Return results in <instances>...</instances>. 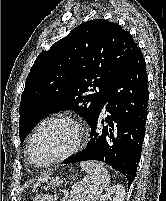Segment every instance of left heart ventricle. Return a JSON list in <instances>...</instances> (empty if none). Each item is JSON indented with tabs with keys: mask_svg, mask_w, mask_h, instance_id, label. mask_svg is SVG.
Wrapping results in <instances>:
<instances>
[{
	"mask_svg": "<svg viewBox=\"0 0 166 201\" xmlns=\"http://www.w3.org/2000/svg\"><path fill=\"white\" fill-rule=\"evenodd\" d=\"M77 138L76 128L66 122H51L42 127L32 146V160L43 164L70 150Z\"/></svg>",
	"mask_w": 166,
	"mask_h": 201,
	"instance_id": "b2bd125f",
	"label": "left heart ventricle"
}]
</instances>
